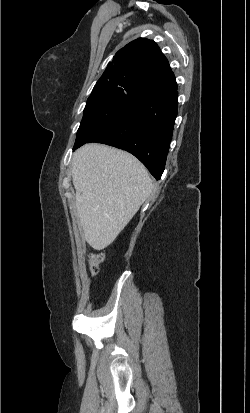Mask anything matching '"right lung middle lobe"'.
I'll use <instances>...</instances> for the list:
<instances>
[{"mask_svg":"<svg viewBox=\"0 0 250 413\" xmlns=\"http://www.w3.org/2000/svg\"><path fill=\"white\" fill-rule=\"evenodd\" d=\"M139 92L116 87L94 88L87 100L73 150L107 127Z\"/></svg>","mask_w":250,"mask_h":413,"instance_id":"obj_1","label":"right lung middle lobe"}]
</instances>
